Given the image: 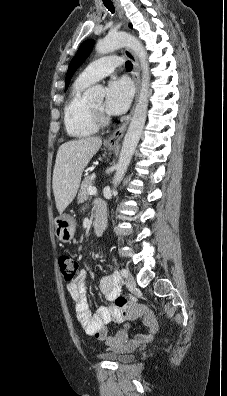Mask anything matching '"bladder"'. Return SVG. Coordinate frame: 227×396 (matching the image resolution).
I'll list each match as a JSON object with an SVG mask.
<instances>
[{
  "label": "bladder",
  "mask_w": 227,
  "mask_h": 396,
  "mask_svg": "<svg viewBox=\"0 0 227 396\" xmlns=\"http://www.w3.org/2000/svg\"><path fill=\"white\" fill-rule=\"evenodd\" d=\"M99 357L117 363H126L132 360L133 355L131 352H107L100 354Z\"/></svg>",
  "instance_id": "1"
}]
</instances>
